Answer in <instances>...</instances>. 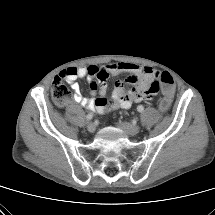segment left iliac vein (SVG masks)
Masks as SVG:
<instances>
[{
	"instance_id": "left-iliac-vein-1",
	"label": "left iliac vein",
	"mask_w": 215,
	"mask_h": 215,
	"mask_svg": "<svg viewBox=\"0 0 215 215\" xmlns=\"http://www.w3.org/2000/svg\"><path fill=\"white\" fill-rule=\"evenodd\" d=\"M118 127L121 128L126 134L134 136L139 133L140 127L132 125L128 122H119Z\"/></svg>"
}]
</instances>
